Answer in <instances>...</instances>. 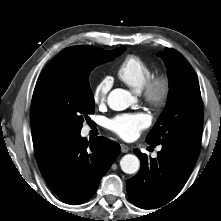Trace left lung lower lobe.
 Masks as SVG:
<instances>
[{
	"label": "left lung lower lobe",
	"instance_id": "left-lung-lower-lobe-1",
	"mask_svg": "<svg viewBox=\"0 0 221 221\" xmlns=\"http://www.w3.org/2000/svg\"><path fill=\"white\" fill-rule=\"evenodd\" d=\"M162 146L154 159L134 150L141 167L128 180L127 193L139 208H158L173 199L184 187L199 155L198 147L181 142H166Z\"/></svg>",
	"mask_w": 221,
	"mask_h": 221
}]
</instances>
